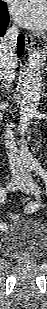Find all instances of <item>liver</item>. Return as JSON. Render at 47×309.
Here are the masks:
<instances>
[{
    "mask_svg": "<svg viewBox=\"0 0 47 309\" xmlns=\"http://www.w3.org/2000/svg\"><path fill=\"white\" fill-rule=\"evenodd\" d=\"M17 60L15 61V68H16Z\"/></svg>",
    "mask_w": 47,
    "mask_h": 309,
    "instance_id": "1",
    "label": "liver"
}]
</instances>
